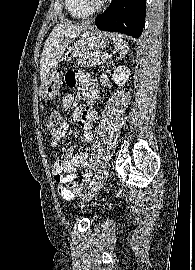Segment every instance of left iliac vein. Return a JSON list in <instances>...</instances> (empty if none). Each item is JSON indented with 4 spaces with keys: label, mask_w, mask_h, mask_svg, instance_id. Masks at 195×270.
I'll return each mask as SVG.
<instances>
[{
    "label": "left iliac vein",
    "mask_w": 195,
    "mask_h": 270,
    "mask_svg": "<svg viewBox=\"0 0 195 270\" xmlns=\"http://www.w3.org/2000/svg\"><path fill=\"white\" fill-rule=\"evenodd\" d=\"M108 176V171H104L99 177L98 180L95 182V184L91 187L88 193H86L82 200H81V207H83L87 202H89L94 196L97 195V193L100 191V189L103 187L106 179Z\"/></svg>",
    "instance_id": "obj_1"
}]
</instances>
